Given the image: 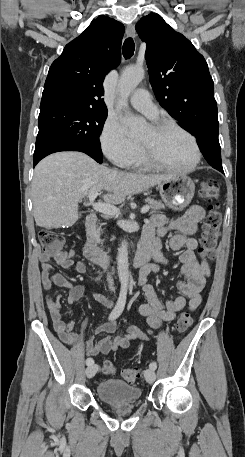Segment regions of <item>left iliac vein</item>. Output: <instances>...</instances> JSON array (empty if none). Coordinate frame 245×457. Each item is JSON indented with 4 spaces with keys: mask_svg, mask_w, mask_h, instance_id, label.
<instances>
[{
    "mask_svg": "<svg viewBox=\"0 0 245 457\" xmlns=\"http://www.w3.org/2000/svg\"><path fill=\"white\" fill-rule=\"evenodd\" d=\"M155 373L154 370L149 368L145 371V379L148 383H153L155 381Z\"/></svg>",
    "mask_w": 245,
    "mask_h": 457,
    "instance_id": "1",
    "label": "left iliac vein"
}]
</instances>
